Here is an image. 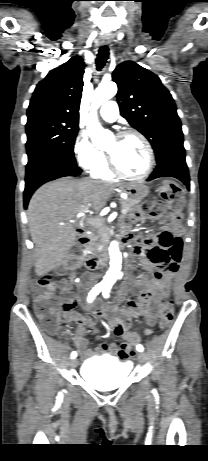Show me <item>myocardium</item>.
Returning <instances> with one entry per match:
<instances>
[{
	"instance_id": "obj_1",
	"label": "myocardium",
	"mask_w": 208,
	"mask_h": 461,
	"mask_svg": "<svg viewBox=\"0 0 208 461\" xmlns=\"http://www.w3.org/2000/svg\"><path fill=\"white\" fill-rule=\"evenodd\" d=\"M129 136H135V137L139 138L140 141L145 146L147 154H148V166H147L146 170L140 175H129V174L123 172L120 169V167L118 166V164L116 163V161L114 159V156L110 152L105 151L106 160H107L109 170L114 175L119 176V177L124 178V179H129V180H143V179H146L152 173V171L154 169V165H155L154 150L152 148L151 143L146 138V136L143 135L141 132H139L137 130H134V129H128V130L121 131V132L116 134L115 138L118 139V140H122L124 138L129 137Z\"/></svg>"
}]
</instances>
